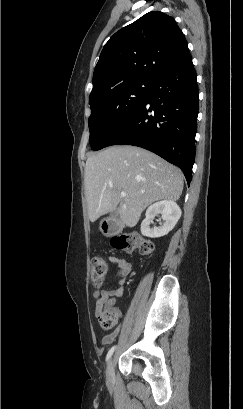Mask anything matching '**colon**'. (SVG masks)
Masks as SVG:
<instances>
[{
    "mask_svg": "<svg viewBox=\"0 0 243 409\" xmlns=\"http://www.w3.org/2000/svg\"><path fill=\"white\" fill-rule=\"evenodd\" d=\"M113 249L124 252H132L136 248L142 255H149L153 251V243L141 238L139 235H120L114 236L110 240ZM107 273V265L101 258H95L90 263V280L93 286L100 287ZM104 309L98 313L101 326L104 330L109 331L113 328L119 318V313L110 304H104ZM103 308V307H102Z\"/></svg>",
    "mask_w": 243,
    "mask_h": 409,
    "instance_id": "obj_1",
    "label": "colon"
}]
</instances>
